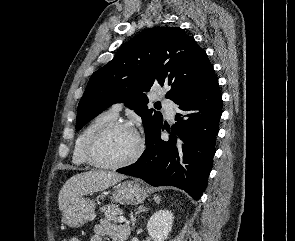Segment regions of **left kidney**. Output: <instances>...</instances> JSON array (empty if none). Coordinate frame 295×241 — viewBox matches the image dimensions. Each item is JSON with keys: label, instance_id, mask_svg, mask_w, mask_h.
<instances>
[{"label": "left kidney", "instance_id": "1", "mask_svg": "<svg viewBox=\"0 0 295 241\" xmlns=\"http://www.w3.org/2000/svg\"><path fill=\"white\" fill-rule=\"evenodd\" d=\"M173 214L168 210L155 212L147 223V230L154 241H164L172 230Z\"/></svg>", "mask_w": 295, "mask_h": 241}]
</instances>
